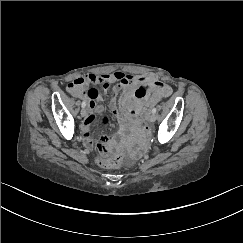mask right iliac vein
<instances>
[{"instance_id": "63e3f726", "label": "right iliac vein", "mask_w": 243, "mask_h": 243, "mask_svg": "<svg viewBox=\"0 0 243 243\" xmlns=\"http://www.w3.org/2000/svg\"><path fill=\"white\" fill-rule=\"evenodd\" d=\"M86 115V109L82 108L81 109V116L84 117Z\"/></svg>"}]
</instances>
